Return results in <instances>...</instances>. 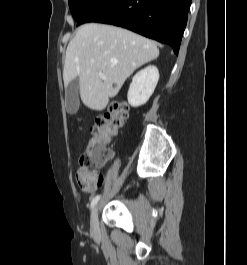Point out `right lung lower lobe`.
<instances>
[{"mask_svg": "<svg viewBox=\"0 0 247 265\" xmlns=\"http://www.w3.org/2000/svg\"><path fill=\"white\" fill-rule=\"evenodd\" d=\"M192 0H98L78 21L127 28L172 46L178 55Z\"/></svg>", "mask_w": 247, "mask_h": 265, "instance_id": "1", "label": "right lung lower lobe"}]
</instances>
